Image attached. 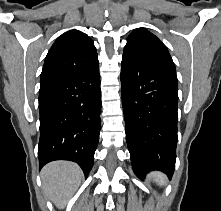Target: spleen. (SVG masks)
<instances>
[{"label":"spleen","mask_w":221,"mask_h":211,"mask_svg":"<svg viewBox=\"0 0 221 211\" xmlns=\"http://www.w3.org/2000/svg\"><path fill=\"white\" fill-rule=\"evenodd\" d=\"M150 177L153 178L159 185H163L166 182V177L160 172H153L150 174Z\"/></svg>","instance_id":"spleen-1"}]
</instances>
